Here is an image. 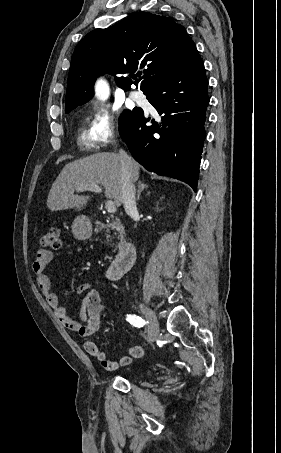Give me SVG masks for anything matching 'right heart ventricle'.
I'll return each mask as SVG.
<instances>
[{
    "mask_svg": "<svg viewBox=\"0 0 281 453\" xmlns=\"http://www.w3.org/2000/svg\"><path fill=\"white\" fill-rule=\"evenodd\" d=\"M77 142L81 151L92 152L97 148V141L91 135L90 130L83 126L79 128Z\"/></svg>",
    "mask_w": 281,
    "mask_h": 453,
    "instance_id": "right-heart-ventricle-1",
    "label": "right heart ventricle"
}]
</instances>
